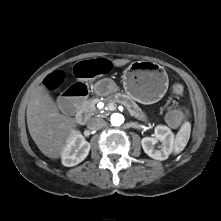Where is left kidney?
<instances>
[{
    "mask_svg": "<svg viewBox=\"0 0 221 221\" xmlns=\"http://www.w3.org/2000/svg\"><path fill=\"white\" fill-rule=\"evenodd\" d=\"M160 141L159 149L154 145ZM144 152L155 160H166L174 149V134L167 126L158 125L155 127L154 137H145L141 141Z\"/></svg>",
    "mask_w": 221,
    "mask_h": 221,
    "instance_id": "left-kidney-1",
    "label": "left kidney"
}]
</instances>
